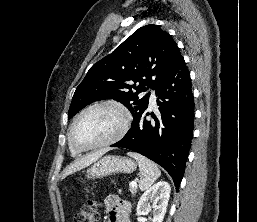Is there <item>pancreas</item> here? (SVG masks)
<instances>
[{
  "label": "pancreas",
  "mask_w": 257,
  "mask_h": 222,
  "mask_svg": "<svg viewBox=\"0 0 257 222\" xmlns=\"http://www.w3.org/2000/svg\"><path fill=\"white\" fill-rule=\"evenodd\" d=\"M136 191H137V186L136 187H131L130 186V192L131 194L134 196L136 194Z\"/></svg>",
  "instance_id": "1"
}]
</instances>
